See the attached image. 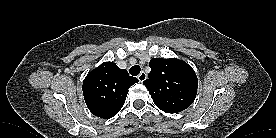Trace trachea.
<instances>
[{
	"instance_id": "1",
	"label": "trachea",
	"mask_w": 276,
	"mask_h": 138,
	"mask_svg": "<svg viewBox=\"0 0 276 138\" xmlns=\"http://www.w3.org/2000/svg\"><path fill=\"white\" fill-rule=\"evenodd\" d=\"M141 71V68L139 65L132 66L129 70L130 74L132 76H137Z\"/></svg>"
}]
</instances>
